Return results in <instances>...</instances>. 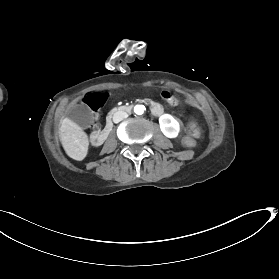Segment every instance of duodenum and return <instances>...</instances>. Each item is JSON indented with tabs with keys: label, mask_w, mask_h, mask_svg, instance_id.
Segmentation results:
<instances>
[{
	"label": "duodenum",
	"mask_w": 279,
	"mask_h": 279,
	"mask_svg": "<svg viewBox=\"0 0 279 279\" xmlns=\"http://www.w3.org/2000/svg\"><path fill=\"white\" fill-rule=\"evenodd\" d=\"M144 103H147L148 106H151L152 111H160V104L153 103V100H149V98H144ZM119 106H114L111 113L107 115V126L104 127L100 136H98V131H93L91 142L95 145L101 146L104 143V139L107 138L108 132H111L113 129V119L114 115L118 113ZM120 111L130 112L132 111V106L120 105Z\"/></svg>",
	"instance_id": "obj_1"
}]
</instances>
